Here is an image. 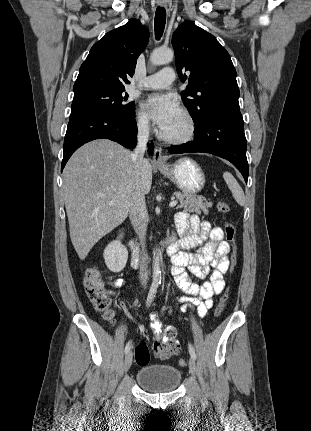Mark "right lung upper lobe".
Masks as SVG:
<instances>
[{"label":"right lung upper lobe","instance_id":"obj_1","mask_svg":"<svg viewBox=\"0 0 311 431\" xmlns=\"http://www.w3.org/2000/svg\"><path fill=\"white\" fill-rule=\"evenodd\" d=\"M149 31L140 21L130 20L96 42L82 63L73 91L89 89L125 90L136 61L145 49Z\"/></svg>","mask_w":311,"mask_h":431}]
</instances>
